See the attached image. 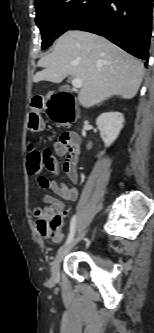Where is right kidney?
Masks as SVG:
<instances>
[{
	"label": "right kidney",
	"mask_w": 154,
	"mask_h": 333,
	"mask_svg": "<svg viewBox=\"0 0 154 333\" xmlns=\"http://www.w3.org/2000/svg\"><path fill=\"white\" fill-rule=\"evenodd\" d=\"M100 136L109 147L118 137L124 124V116L120 112L102 113L96 120Z\"/></svg>",
	"instance_id": "obj_1"
}]
</instances>
